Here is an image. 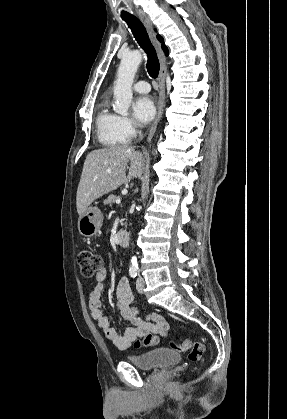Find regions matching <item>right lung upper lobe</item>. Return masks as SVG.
<instances>
[{
  "label": "right lung upper lobe",
  "instance_id": "1",
  "mask_svg": "<svg viewBox=\"0 0 287 419\" xmlns=\"http://www.w3.org/2000/svg\"><path fill=\"white\" fill-rule=\"evenodd\" d=\"M158 39L162 42L163 41V39L160 37V36H158ZM162 49L164 50V52L167 54V52H168V50H167V48H166V46L164 45V44H162Z\"/></svg>",
  "mask_w": 287,
  "mask_h": 419
}]
</instances>
